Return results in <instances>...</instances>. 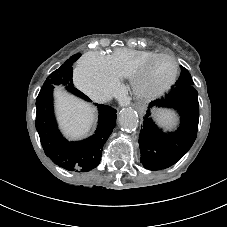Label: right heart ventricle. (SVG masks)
<instances>
[{
  "mask_svg": "<svg viewBox=\"0 0 227 227\" xmlns=\"http://www.w3.org/2000/svg\"><path fill=\"white\" fill-rule=\"evenodd\" d=\"M155 51L118 48L108 55L111 70L118 78H131L139 66Z\"/></svg>",
  "mask_w": 227,
  "mask_h": 227,
  "instance_id": "1",
  "label": "right heart ventricle"
}]
</instances>
